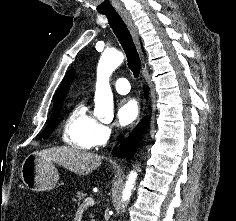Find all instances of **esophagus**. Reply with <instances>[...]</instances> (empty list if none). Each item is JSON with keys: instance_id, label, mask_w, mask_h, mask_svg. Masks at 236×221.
I'll return each mask as SVG.
<instances>
[{"instance_id": "34e87169", "label": "esophagus", "mask_w": 236, "mask_h": 221, "mask_svg": "<svg viewBox=\"0 0 236 221\" xmlns=\"http://www.w3.org/2000/svg\"><path fill=\"white\" fill-rule=\"evenodd\" d=\"M118 13L120 14V16L122 17V19L124 20V22L127 24L133 38H134V41L138 47V50L139 52L141 53L142 55V51H141V47H140V40H139V34H138V30H137V27L130 15V13L127 11V10H118ZM143 116V115H142ZM140 120H138L139 122Z\"/></svg>"}]
</instances>
